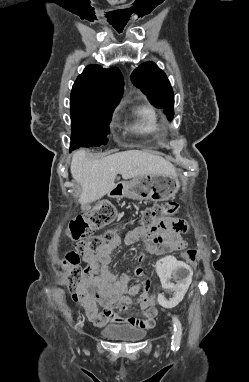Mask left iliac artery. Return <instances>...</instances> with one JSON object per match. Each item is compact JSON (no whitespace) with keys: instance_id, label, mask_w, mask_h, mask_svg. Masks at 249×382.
I'll return each instance as SVG.
<instances>
[{"instance_id":"1","label":"left iliac artery","mask_w":249,"mask_h":382,"mask_svg":"<svg viewBox=\"0 0 249 382\" xmlns=\"http://www.w3.org/2000/svg\"><path fill=\"white\" fill-rule=\"evenodd\" d=\"M172 320H173V327H174V332L172 335V349L178 350L180 341H181L182 326L179 319L176 316H173Z\"/></svg>"}]
</instances>
